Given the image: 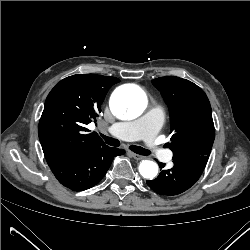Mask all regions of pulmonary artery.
<instances>
[{
  "instance_id": "e3ab8cb5",
  "label": "pulmonary artery",
  "mask_w": 250,
  "mask_h": 250,
  "mask_svg": "<svg viewBox=\"0 0 250 250\" xmlns=\"http://www.w3.org/2000/svg\"><path fill=\"white\" fill-rule=\"evenodd\" d=\"M163 123V113L161 109L154 108L148 114L137 122L115 123L110 126L111 133L127 140H144L148 142L150 152L163 161L172 159V152L162 149L153 143H149L155 132Z\"/></svg>"
}]
</instances>
